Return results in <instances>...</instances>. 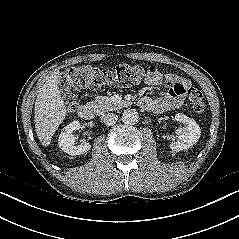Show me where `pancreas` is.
Here are the masks:
<instances>
[{"label":"pancreas","mask_w":239,"mask_h":239,"mask_svg":"<svg viewBox=\"0 0 239 239\" xmlns=\"http://www.w3.org/2000/svg\"><path fill=\"white\" fill-rule=\"evenodd\" d=\"M90 104L94 106L99 113L113 111L118 109L119 106H121L120 104L115 103L113 99L109 97L97 99L95 101L90 102Z\"/></svg>","instance_id":"1"}]
</instances>
